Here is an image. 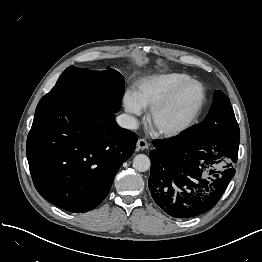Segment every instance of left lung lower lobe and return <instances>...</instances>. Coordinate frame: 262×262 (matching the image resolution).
I'll list each match as a JSON object with an SVG mask.
<instances>
[{"label": "left lung lower lobe", "instance_id": "obj_1", "mask_svg": "<svg viewBox=\"0 0 262 262\" xmlns=\"http://www.w3.org/2000/svg\"><path fill=\"white\" fill-rule=\"evenodd\" d=\"M240 134L155 140L148 181L156 204L175 218H192L213 208L235 174Z\"/></svg>", "mask_w": 262, "mask_h": 262}]
</instances>
